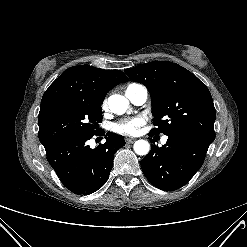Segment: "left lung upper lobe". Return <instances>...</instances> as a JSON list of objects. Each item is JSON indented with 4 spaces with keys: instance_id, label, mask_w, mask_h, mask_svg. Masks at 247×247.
Masks as SVG:
<instances>
[{
    "instance_id": "obj_1",
    "label": "left lung upper lobe",
    "mask_w": 247,
    "mask_h": 247,
    "mask_svg": "<svg viewBox=\"0 0 247 247\" xmlns=\"http://www.w3.org/2000/svg\"><path fill=\"white\" fill-rule=\"evenodd\" d=\"M133 80L144 84L152 98L151 134L180 132L212 143L215 139V107L208 88L182 66L155 61L125 69Z\"/></svg>"
}]
</instances>
